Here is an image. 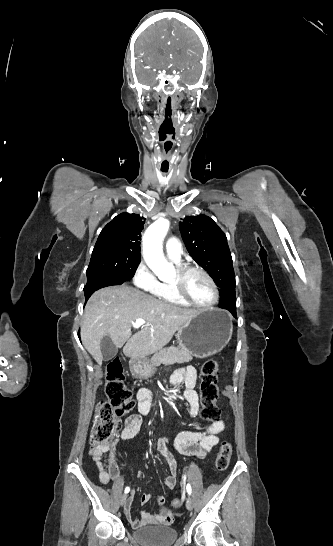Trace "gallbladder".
I'll return each mask as SVG.
<instances>
[{"label":"gallbladder","instance_id":"gallbladder-1","mask_svg":"<svg viewBox=\"0 0 333 546\" xmlns=\"http://www.w3.org/2000/svg\"><path fill=\"white\" fill-rule=\"evenodd\" d=\"M100 348L104 361L113 359L118 353V348L112 343L108 336L102 338Z\"/></svg>","mask_w":333,"mask_h":546}]
</instances>
